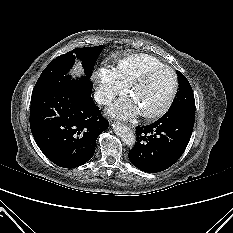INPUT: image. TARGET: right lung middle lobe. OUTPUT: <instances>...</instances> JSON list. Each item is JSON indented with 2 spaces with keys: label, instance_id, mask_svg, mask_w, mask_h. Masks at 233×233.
Instances as JSON below:
<instances>
[{
  "label": "right lung middle lobe",
  "instance_id": "obj_1",
  "mask_svg": "<svg viewBox=\"0 0 233 233\" xmlns=\"http://www.w3.org/2000/svg\"><path fill=\"white\" fill-rule=\"evenodd\" d=\"M103 46L84 47L74 49L66 54L56 57L43 70L38 81L35 84L33 92L43 90L49 86L55 85L62 80L68 79L66 76L75 62V59L82 61L85 71V78H90L95 60L97 59Z\"/></svg>",
  "mask_w": 233,
  "mask_h": 233
}]
</instances>
